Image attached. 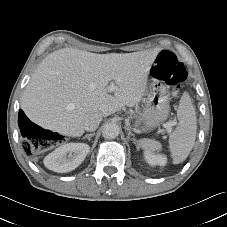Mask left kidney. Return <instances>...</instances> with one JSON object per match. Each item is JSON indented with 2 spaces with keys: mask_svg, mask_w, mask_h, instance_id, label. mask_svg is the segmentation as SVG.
<instances>
[{
  "mask_svg": "<svg viewBox=\"0 0 227 227\" xmlns=\"http://www.w3.org/2000/svg\"><path fill=\"white\" fill-rule=\"evenodd\" d=\"M144 157L146 162L151 165V166H155V165H159V166H165L167 163V158L164 155H155L151 152H145L144 153Z\"/></svg>",
  "mask_w": 227,
  "mask_h": 227,
  "instance_id": "1",
  "label": "left kidney"
}]
</instances>
